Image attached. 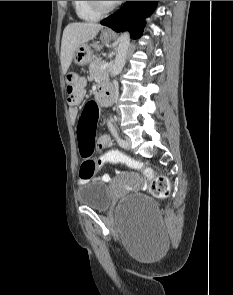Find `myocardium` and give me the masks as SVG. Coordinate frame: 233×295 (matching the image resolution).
I'll return each mask as SVG.
<instances>
[{
	"mask_svg": "<svg viewBox=\"0 0 233 295\" xmlns=\"http://www.w3.org/2000/svg\"><path fill=\"white\" fill-rule=\"evenodd\" d=\"M90 7L99 15L107 14L111 11H113L117 6L118 2H114L113 4L109 6H104L101 1H88Z\"/></svg>",
	"mask_w": 233,
	"mask_h": 295,
	"instance_id": "myocardium-1",
	"label": "myocardium"
}]
</instances>
